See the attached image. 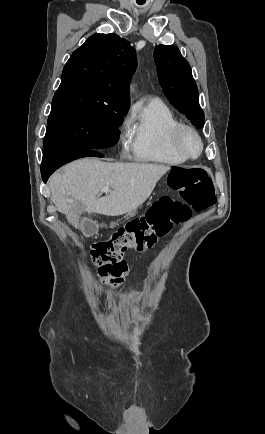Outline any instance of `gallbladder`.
Listing matches in <instances>:
<instances>
[{"label":"gallbladder","mask_w":265,"mask_h":434,"mask_svg":"<svg viewBox=\"0 0 265 434\" xmlns=\"http://www.w3.org/2000/svg\"><path fill=\"white\" fill-rule=\"evenodd\" d=\"M79 229L84 232L86 237H91L92 234H96L98 232V228L95 224L94 219L87 218L84 221H81V225L79 226Z\"/></svg>","instance_id":"1"}]
</instances>
